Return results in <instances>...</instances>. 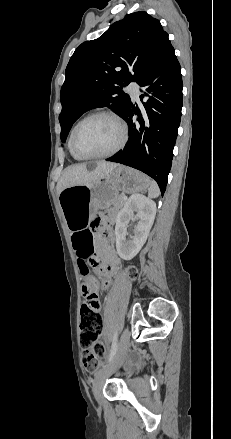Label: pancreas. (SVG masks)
<instances>
[{"instance_id":"pancreas-1","label":"pancreas","mask_w":231,"mask_h":439,"mask_svg":"<svg viewBox=\"0 0 231 439\" xmlns=\"http://www.w3.org/2000/svg\"><path fill=\"white\" fill-rule=\"evenodd\" d=\"M113 204L117 208H121L125 204V200L123 199V196L122 195H118V196L114 197L113 198Z\"/></svg>"}]
</instances>
